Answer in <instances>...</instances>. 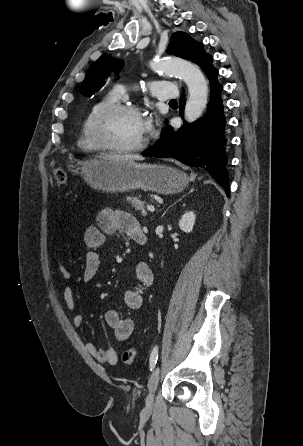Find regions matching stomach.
Returning a JSON list of instances; mask_svg holds the SVG:
<instances>
[{
  "label": "stomach",
  "mask_w": 303,
  "mask_h": 446,
  "mask_svg": "<svg viewBox=\"0 0 303 446\" xmlns=\"http://www.w3.org/2000/svg\"><path fill=\"white\" fill-rule=\"evenodd\" d=\"M66 168L73 175H81L92 188L104 192L143 189L174 194L184 190L188 184V177L182 171L166 165L136 163L133 160L81 161L69 157Z\"/></svg>",
  "instance_id": "1"
}]
</instances>
